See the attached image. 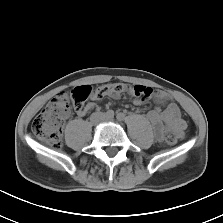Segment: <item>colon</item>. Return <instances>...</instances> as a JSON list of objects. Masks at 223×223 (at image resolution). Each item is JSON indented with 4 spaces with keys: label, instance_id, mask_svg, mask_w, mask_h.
I'll return each mask as SVG.
<instances>
[{
    "label": "colon",
    "instance_id": "1",
    "mask_svg": "<svg viewBox=\"0 0 223 223\" xmlns=\"http://www.w3.org/2000/svg\"><path fill=\"white\" fill-rule=\"evenodd\" d=\"M125 92H132L140 101H147L153 96L165 102L171 99L170 94L164 90H153L142 85L131 87L125 83H113L103 85L96 90H93L90 86L83 85L74 88L70 93H62L55 97L33 119L31 124L32 132L50 148L59 149L62 146V127L71 107L75 111H80L90 99H101ZM165 140L168 144L174 145L178 141V136L174 131H168L165 135Z\"/></svg>",
    "mask_w": 223,
    "mask_h": 223
}]
</instances>
